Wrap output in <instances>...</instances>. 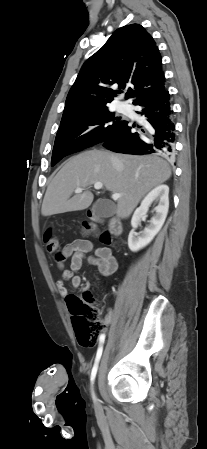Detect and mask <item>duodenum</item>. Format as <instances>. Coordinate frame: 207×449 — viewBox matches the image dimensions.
Wrapping results in <instances>:
<instances>
[{
  "label": "duodenum",
  "mask_w": 207,
  "mask_h": 449,
  "mask_svg": "<svg viewBox=\"0 0 207 449\" xmlns=\"http://www.w3.org/2000/svg\"><path fill=\"white\" fill-rule=\"evenodd\" d=\"M92 219L96 222H98L100 220L99 217H97L96 215H92ZM109 230L112 234L118 236L121 234L122 232V223L119 219L117 218H112L109 221Z\"/></svg>",
  "instance_id": "obj_1"
}]
</instances>
